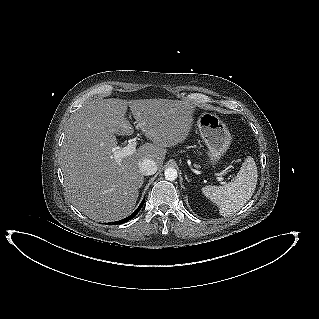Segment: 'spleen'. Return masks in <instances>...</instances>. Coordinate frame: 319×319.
Returning <instances> with one entry per match:
<instances>
[{
    "instance_id": "spleen-1",
    "label": "spleen",
    "mask_w": 319,
    "mask_h": 319,
    "mask_svg": "<svg viewBox=\"0 0 319 319\" xmlns=\"http://www.w3.org/2000/svg\"><path fill=\"white\" fill-rule=\"evenodd\" d=\"M257 179L256 163L249 156L243 162L234 181L223 186H205L202 192L219 207L220 215L229 216L238 212L251 199Z\"/></svg>"
}]
</instances>
